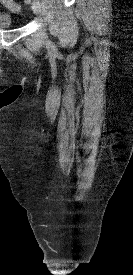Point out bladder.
I'll return each mask as SVG.
<instances>
[{"label": "bladder", "mask_w": 133, "mask_h": 275, "mask_svg": "<svg viewBox=\"0 0 133 275\" xmlns=\"http://www.w3.org/2000/svg\"><path fill=\"white\" fill-rule=\"evenodd\" d=\"M15 26L14 20L9 13L0 12V29H11Z\"/></svg>", "instance_id": "obj_1"}]
</instances>
